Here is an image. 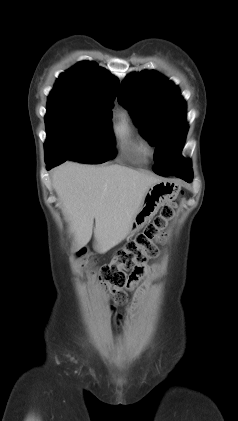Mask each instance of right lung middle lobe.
I'll return each instance as SVG.
<instances>
[{
	"mask_svg": "<svg viewBox=\"0 0 238 421\" xmlns=\"http://www.w3.org/2000/svg\"><path fill=\"white\" fill-rule=\"evenodd\" d=\"M112 104L49 95L45 159L103 163L115 157Z\"/></svg>",
	"mask_w": 238,
	"mask_h": 421,
	"instance_id": "right-lung-middle-lobe-1",
	"label": "right lung middle lobe"
}]
</instances>
